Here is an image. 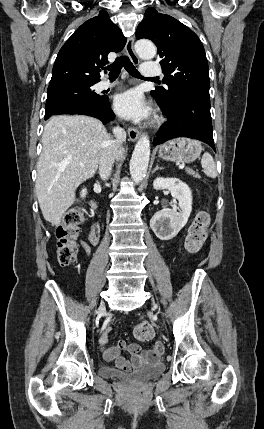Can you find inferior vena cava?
<instances>
[{
    "instance_id": "1",
    "label": "inferior vena cava",
    "mask_w": 264,
    "mask_h": 429,
    "mask_svg": "<svg viewBox=\"0 0 264 429\" xmlns=\"http://www.w3.org/2000/svg\"><path fill=\"white\" fill-rule=\"evenodd\" d=\"M113 134L115 139L110 141L99 161V175L103 181L108 180L110 177L114 161L118 158V153L122 148V143L126 139L125 130L119 126L113 129Z\"/></svg>"
}]
</instances>
